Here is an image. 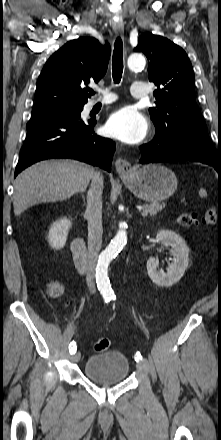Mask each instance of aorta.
<instances>
[{
	"mask_svg": "<svg viewBox=\"0 0 221 440\" xmlns=\"http://www.w3.org/2000/svg\"><path fill=\"white\" fill-rule=\"evenodd\" d=\"M128 67L131 70H139L145 67L146 60L143 55L134 53L128 58ZM127 243V233L125 229H120L115 237L111 240L107 248L101 253L97 268L96 281L101 291L111 292V285L108 278V266L113 257L123 248Z\"/></svg>",
	"mask_w": 221,
	"mask_h": 440,
	"instance_id": "obj_1",
	"label": "aorta"
}]
</instances>
